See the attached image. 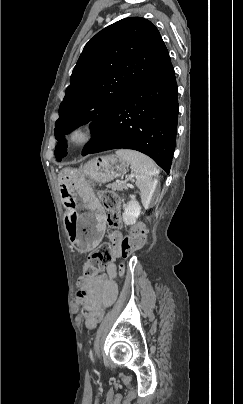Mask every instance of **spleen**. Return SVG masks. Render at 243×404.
Here are the masks:
<instances>
[{
    "mask_svg": "<svg viewBox=\"0 0 243 404\" xmlns=\"http://www.w3.org/2000/svg\"><path fill=\"white\" fill-rule=\"evenodd\" d=\"M119 158L131 166L136 178V186L141 192V202L145 208H152L153 194L158 184V170L151 158L134 152V150H117L115 152Z\"/></svg>",
    "mask_w": 243,
    "mask_h": 404,
    "instance_id": "spleen-1",
    "label": "spleen"
}]
</instances>
